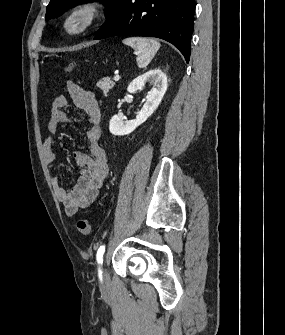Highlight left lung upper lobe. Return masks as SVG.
Wrapping results in <instances>:
<instances>
[{
  "label": "left lung upper lobe",
  "instance_id": "5c2ea615",
  "mask_svg": "<svg viewBox=\"0 0 285 335\" xmlns=\"http://www.w3.org/2000/svg\"><path fill=\"white\" fill-rule=\"evenodd\" d=\"M97 0H51L47 6L46 19H51L60 16L68 8L75 6L79 3L93 2ZM101 1L106 7V16L116 6L119 0H98Z\"/></svg>",
  "mask_w": 285,
  "mask_h": 335
}]
</instances>
